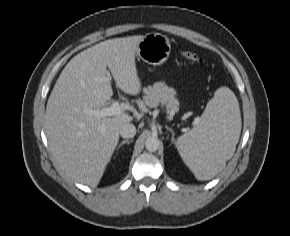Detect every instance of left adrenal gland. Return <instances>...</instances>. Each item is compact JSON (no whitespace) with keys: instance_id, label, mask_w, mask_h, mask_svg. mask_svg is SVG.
Wrapping results in <instances>:
<instances>
[{"instance_id":"obj_1","label":"left adrenal gland","mask_w":290,"mask_h":236,"mask_svg":"<svg viewBox=\"0 0 290 236\" xmlns=\"http://www.w3.org/2000/svg\"><path fill=\"white\" fill-rule=\"evenodd\" d=\"M166 129L171 132V134H172L171 142L174 143L175 142V139H174V135H175L174 134V131L171 128H169L168 126H166Z\"/></svg>"}]
</instances>
